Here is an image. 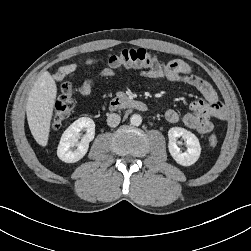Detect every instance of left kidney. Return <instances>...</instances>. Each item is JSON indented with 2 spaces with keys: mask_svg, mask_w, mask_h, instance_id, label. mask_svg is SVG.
<instances>
[{
  "mask_svg": "<svg viewBox=\"0 0 251 251\" xmlns=\"http://www.w3.org/2000/svg\"><path fill=\"white\" fill-rule=\"evenodd\" d=\"M182 137L186 142V151L178 147L177 139ZM168 149L173 159L182 166L193 165L200 157L201 146L198 138L190 131L181 127H172L168 131Z\"/></svg>",
  "mask_w": 251,
  "mask_h": 251,
  "instance_id": "1",
  "label": "left kidney"
}]
</instances>
